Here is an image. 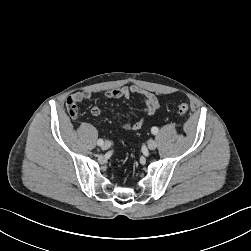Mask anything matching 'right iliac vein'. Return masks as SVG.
<instances>
[{"instance_id":"63e3f726","label":"right iliac vein","mask_w":251,"mask_h":251,"mask_svg":"<svg viewBox=\"0 0 251 251\" xmlns=\"http://www.w3.org/2000/svg\"><path fill=\"white\" fill-rule=\"evenodd\" d=\"M101 148H102L103 150L109 149V148H110V142H105V143H103V145L101 146Z\"/></svg>"}]
</instances>
